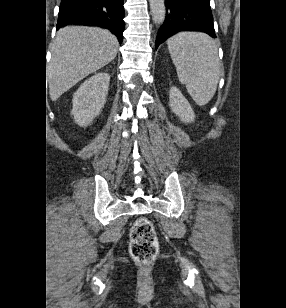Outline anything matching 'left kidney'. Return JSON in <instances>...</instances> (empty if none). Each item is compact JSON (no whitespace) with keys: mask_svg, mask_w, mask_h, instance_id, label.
<instances>
[{"mask_svg":"<svg viewBox=\"0 0 286 308\" xmlns=\"http://www.w3.org/2000/svg\"><path fill=\"white\" fill-rule=\"evenodd\" d=\"M169 105L172 112L184 123L194 121L195 113L188 100L177 87H171L169 92Z\"/></svg>","mask_w":286,"mask_h":308,"instance_id":"left-kidney-1","label":"left kidney"}]
</instances>
